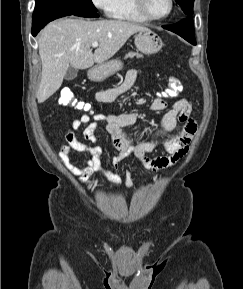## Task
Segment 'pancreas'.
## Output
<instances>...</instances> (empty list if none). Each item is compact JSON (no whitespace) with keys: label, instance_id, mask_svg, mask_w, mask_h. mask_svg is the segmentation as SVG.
<instances>
[{"label":"pancreas","instance_id":"obj_1","mask_svg":"<svg viewBox=\"0 0 243 289\" xmlns=\"http://www.w3.org/2000/svg\"><path fill=\"white\" fill-rule=\"evenodd\" d=\"M134 57H137V58H140L142 57L141 54H139L138 52H129L125 55L124 59H127V58H134Z\"/></svg>","mask_w":243,"mask_h":289}]
</instances>
